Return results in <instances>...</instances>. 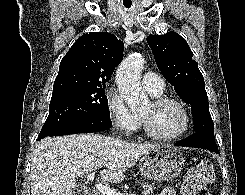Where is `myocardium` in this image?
Masks as SVG:
<instances>
[{"label": "myocardium", "instance_id": "f54148a6", "mask_svg": "<svg viewBox=\"0 0 245 195\" xmlns=\"http://www.w3.org/2000/svg\"><path fill=\"white\" fill-rule=\"evenodd\" d=\"M175 104L177 106L180 107V109L182 110L183 114H184V124L183 127L176 133L171 134V135H161L158 133H155L149 123L147 118L144 115H140V119H141V123H142V127H143V131L144 133L155 140H160V141H173L176 139L181 138L182 136H184L191 127V123H192V117L190 114L189 109L187 108V106L184 104V102H182L181 100L174 98V97H169V96H158L155 97L152 101L151 104L154 108L160 107L164 104Z\"/></svg>", "mask_w": 245, "mask_h": 195}]
</instances>
